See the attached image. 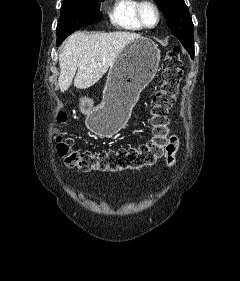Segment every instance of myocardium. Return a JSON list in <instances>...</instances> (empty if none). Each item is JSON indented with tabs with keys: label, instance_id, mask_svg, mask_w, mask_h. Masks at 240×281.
<instances>
[{
	"label": "myocardium",
	"instance_id": "myocardium-1",
	"mask_svg": "<svg viewBox=\"0 0 240 281\" xmlns=\"http://www.w3.org/2000/svg\"><path fill=\"white\" fill-rule=\"evenodd\" d=\"M145 6H151L156 13V22L153 25L147 24L144 20L143 9ZM136 16L142 27L146 29H153L157 27L160 24L162 18L160 7L154 0H139L136 7Z\"/></svg>",
	"mask_w": 240,
	"mask_h": 281
}]
</instances>
